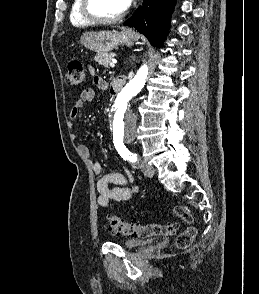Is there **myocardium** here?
<instances>
[{"instance_id": "myocardium-1", "label": "myocardium", "mask_w": 259, "mask_h": 294, "mask_svg": "<svg viewBox=\"0 0 259 294\" xmlns=\"http://www.w3.org/2000/svg\"><path fill=\"white\" fill-rule=\"evenodd\" d=\"M91 0H81L80 13L82 17L87 20L90 24H113L120 21L126 15V9L120 14L114 17H100L94 14L91 10Z\"/></svg>"}]
</instances>
